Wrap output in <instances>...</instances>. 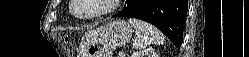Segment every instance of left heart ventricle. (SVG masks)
I'll list each match as a JSON object with an SVG mask.
<instances>
[{
  "mask_svg": "<svg viewBox=\"0 0 249 57\" xmlns=\"http://www.w3.org/2000/svg\"><path fill=\"white\" fill-rule=\"evenodd\" d=\"M106 0H78L75 12L78 15H87L105 8Z\"/></svg>",
  "mask_w": 249,
  "mask_h": 57,
  "instance_id": "obj_1",
  "label": "left heart ventricle"
}]
</instances>
